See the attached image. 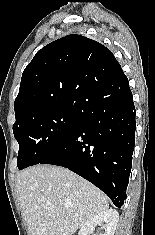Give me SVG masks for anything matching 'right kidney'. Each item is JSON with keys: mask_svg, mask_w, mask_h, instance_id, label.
I'll use <instances>...</instances> for the list:
<instances>
[{"mask_svg": "<svg viewBox=\"0 0 155 235\" xmlns=\"http://www.w3.org/2000/svg\"><path fill=\"white\" fill-rule=\"evenodd\" d=\"M119 214L116 210L109 209L85 222L81 227L78 235H91L95 226L99 225L104 229V233L101 235H114Z\"/></svg>", "mask_w": 155, "mask_h": 235, "instance_id": "obj_1", "label": "right kidney"}]
</instances>
